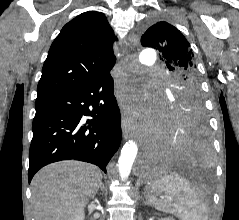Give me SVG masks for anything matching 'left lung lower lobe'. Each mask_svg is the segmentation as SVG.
Wrapping results in <instances>:
<instances>
[{"label": "left lung lower lobe", "mask_w": 239, "mask_h": 220, "mask_svg": "<svg viewBox=\"0 0 239 220\" xmlns=\"http://www.w3.org/2000/svg\"><path fill=\"white\" fill-rule=\"evenodd\" d=\"M161 138L142 162L144 172L169 169L172 165L196 163L211 153V142L202 110L185 112L165 108L160 121Z\"/></svg>", "instance_id": "1"}]
</instances>
